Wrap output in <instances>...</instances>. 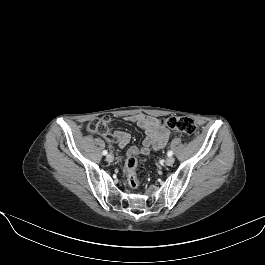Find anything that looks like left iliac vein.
Instances as JSON below:
<instances>
[{
    "mask_svg": "<svg viewBox=\"0 0 265 265\" xmlns=\"http://www.w3.org/2000/svg\"><path fill=\"white\" fill-rule=\"evenodd\" d=\"M166 165L171 166L174 163L173 157H168L165 161Z\"/></svg>",
    "mask_w": 265,
    "mask_h": 265,
    "instance_id": "obj_1",
    "label": "left iliac vein"
}]
</instances>
